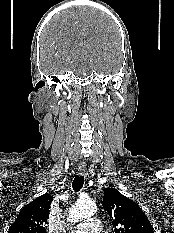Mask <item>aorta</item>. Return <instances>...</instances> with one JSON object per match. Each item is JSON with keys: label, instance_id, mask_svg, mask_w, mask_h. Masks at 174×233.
I'll return each instance as SVG.
<instances>
[{"label": "aorta", "instance_id": "aorta-1", "mask_svg": "<svg viewBox=\"0 0 174 233\" xmlns=\"http://www.w3.org/2000/svg\"><path fill=\"white\" fill-rule=\"evenodd\" d=\"M97 211L92 202H77L69 210V220L73 223L81 219L93 216Z\"/></svg>", "mask_w": 174, "mask_h": 233}]
</instances>
